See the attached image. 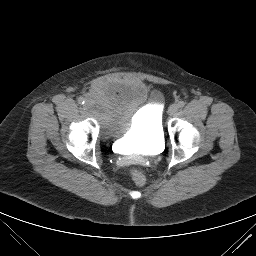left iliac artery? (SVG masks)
<instances>
[{"label":"left iliac artery","mask_w":256,"mask_h":256,"mask_svg":"<svg viewBox=\"0 0 256 256\" xmlns=\"http://www.w3.org/2000/svg\"><path fill=\"white\" fill-rule=\"evenodd\" d=\"M185 106V102L184 101H179L178 102V107L179 108H182V107H184Z\"/></svg>","instance_id":"left-iliac-artery-1"}]
</instances>
